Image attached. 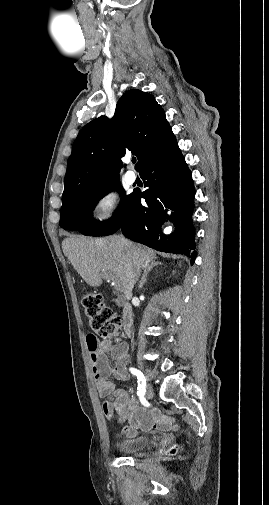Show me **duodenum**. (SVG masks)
Returning a JSON list of instances; mask_svg holds the SVG:
<instances>
[{"label":"duodenum","mask_w":269,"mask_h":505,"mask_svg":"<svg viewBox=\"0 0 269 505\" xmlns=\"http://www.w3.org/2000/svg\"><path fill=\"white\" fill-rule=\"evenodd\" d=\"M134 315L130 304L124 303L122 306V328L125 336H130L133 326Z\"/></svg>","instance_id":"obj_1"}]
</instances>
